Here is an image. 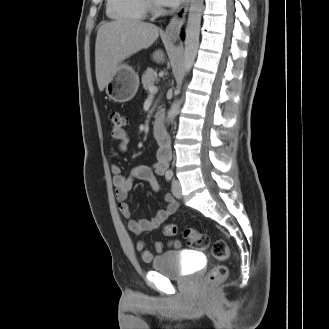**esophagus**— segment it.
<instances>
[{
    "label": "esophagus",
    "instance_id": "1",
    "mask_svg": "<svg viewBox=\"0 0 329 329\" xmlns=\"http://www.w3.org/2000/svg\"><path fill=\"white\" fill-rule=\"evenodd\" d=\"M190 0H182V4L170 20L165 29V34L168 36L177 37L185 22L186 15L189 9Z\"/></svg>",
    "mask_w": 329,
    "mask_h": 329
}]
</instances>
